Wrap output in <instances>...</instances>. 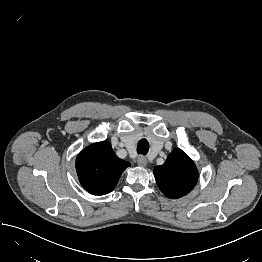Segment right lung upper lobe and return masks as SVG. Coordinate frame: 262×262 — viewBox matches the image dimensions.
Returning <instances> with one entry per match:
<instances>
[{"mask_svg": "<svg viewBox=\"0 0 262 262\" xmlns=\"http://www.w3.org/2000/svg\"><path fill=\"white\" fill-rule=\"evenodd\" d=\"M128 166L130 163L118 158L107 141L88 146L76 159L79 181L93 195L111 192Z\"/></svg>", "mask_w": 262, "mask_h": 262, "instance_id": "obj_1", "label": "right lung upper lobe"}]
</instances>
